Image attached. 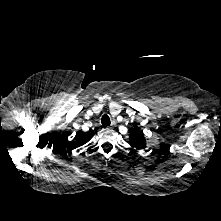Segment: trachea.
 <instances>
[{"label":"trachea","mask_w":221,"mask_h":221,"mask_svg":"<svg viewBox=\"0 0 221 221\" xmlns=\"http://www.w3.org/2000/svg\"><path fill=\"white\" fill-rule=\"evenodd\" d=\"M101 123L103 126H110V118L107 114H104L101 118Z\"/></svg>","instance_id":"1"}]
</instances>
